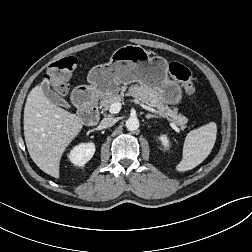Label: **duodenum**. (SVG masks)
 Listing matches in <instances>:
<instances>
[{"label": "duodenum", "instance_id": "duodenum-1", "mask_svg": "<svg viewBox=\"0 0 252 252\" xmlns=\"http://www.w3.org/2000/svg\"><path fill=\"white\" fill-rule=\"evenodd\" d=\"M73 99L77 102L88 101V104L82 112L84 119L92 125L99 122L100 116L98 106L95 100L92 98L91 91L89 89L85 87L81 90L75 91L73 94Z\"/></svg>", "mask_w": 252, "mask_h": 252}]
</instances>
